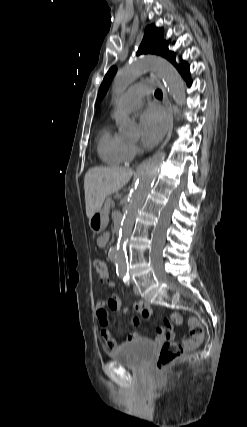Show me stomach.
<instances>
[{
    "label": "stomach",
    "instance_id": "1",
    "mask_svg": "<svg viewBox=\"0 0 247 427\" xmlns=\"http://www.w3.org/2000/svg\"><path fill=\"white\" fill-rule=\"evenodd\" d=\"M108 224V215L103 210L97 211L90 219L89 226L94 233H101Z\"/></svg>",
    "mask_w": 247,
    "mask_h": 427
}]
</instances>
